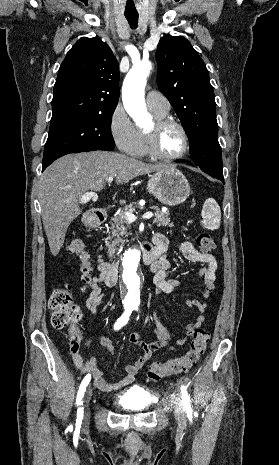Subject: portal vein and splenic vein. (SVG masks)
Segmentation results:
<instances>
[{"mask_svg":"<svg viewBox=\"0 0 279 465\" xmlns=\"http://www.w3.org/2000/svg\"><path fill=\"white\" fill-rule=\"evenodd\" d=\"M112 181H113V177H109V178L107 179V182H108V183H111ZM93 196H94L93 193L87 192V193H85V194L83 195L82 200H86L87 198H91V197H93ZM152 217H153V213H152V212H146L145 214L142 215V218H143V219H150V218H152ZM125 218H126V220H127L128 222H134V221L137 220V217H136L132 212H126V213H125Z\"/></svg>","mask_w":279,"mask_h":465,"instance_id":"obj_1","label":"portal vein and splenic vein"}]
</instances>
